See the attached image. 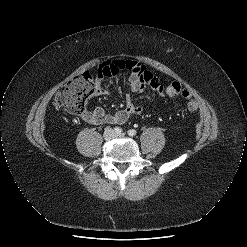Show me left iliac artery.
I'll use <instances>...</instances> for the list:
<instances>
[{
	"instance_id": "44dca946",
	"label": "left iliac artery",
	"mask_w": 247,
	"mask_h": 247,
	"mask_svg": "<svg viewBox=\"0 0 247 247\" xmlns=\"http://www.w3.org/2000/svg\"><path fill=\"white\" fill-rule=\"evenodd\" d=\"M136 133H137V132H136V130H134V129H131V130L128 131V135H129V136H135Z\"/></svg>"
}]
</instances>
